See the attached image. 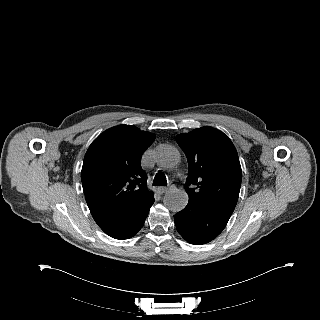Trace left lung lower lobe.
<instances>
[{
    "instance_id": "left-lung-lower-lobe-1",
    "label": "left lung lower lobe",
    "mask_w": 320,
    "mask_h": 320,
    "mask_svg": "<svg viewBox=\"0 0 320 320\" xmlns=\"http://www.w3.org/2000/svg\"><path fill=\"white\" fill-rule=\"evenodd\" d=\"M230 216L214 206L189 198L186 207L174 215V220L179 234L189 243L199 245L215 239Z\"/></svg>"
}]
</instances>
